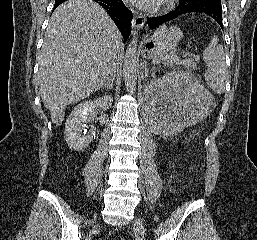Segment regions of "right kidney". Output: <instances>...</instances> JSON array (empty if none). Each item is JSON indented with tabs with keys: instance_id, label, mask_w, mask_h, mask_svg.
Segmentation results:
<instances>
[{
	"instance_id": "ca27d5eb",
	"label": "right kidney",
	"mask_w": 257,
	"mask_h": 240,
	"mask_svg": "<svg viewBox=\"0 0 257 240\" xmlns=\"http://www.w3.org/2000/svg\"><path fill=\"white\" fill-rule=\"evenodd\" d=\"M112 97L104 96L94 102L86 101L77 105L65 123L64 138L68 146L75 151H83L94 138V127L84 129V123L93 118L96 108L107 110L112 105Z\"/></svg>"
}]
</instances>
